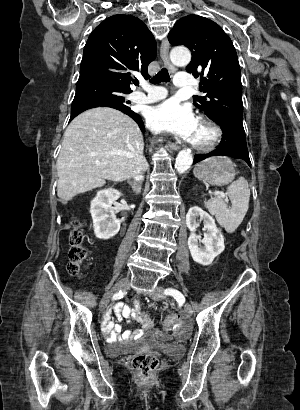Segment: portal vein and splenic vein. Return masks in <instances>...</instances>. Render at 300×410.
Returning <instances> with one entry per match:
<instances>
[{"mask_svg":"<svg viewBox=\"0 0 300 410\" xmlns=\"http://www.w3.org/2000/svg\"><path fill=\"white\" fill-rule=\"evenodd\" d=\"M99 164V162H97ZM220 197H225V194L223 192L219 193Z\"/></svg>","mask_w":300,"mask_h":410,"instance_id":"portal-vein-and-splenic-vein-1","label":"portal vein and splenic vein"}]
</instances>
